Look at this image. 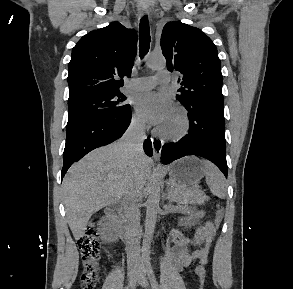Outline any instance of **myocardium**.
Masks as SVG:
<instances>
[{
	"mask_svg": "<svg viewBox=\"0 0 293 289\" xmlns=\"http://www.w3.org/2000/svg\"><path fill=\"white\" fill-rule=\"evenodd\" d=\"M174 111L181 119L180 128L174 132H166L161 127L155 130V134L162 140L178 142L185 138L190 130V118L187 110L182 106H176Z\"/></svg>",
	"mask_w": 293,
	"mask_h": 289,
	"instance_id": "1",
	"label": "myocardium"
}]
</instances>
